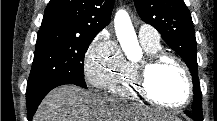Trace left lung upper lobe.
Returning a JSON list of instances; mask_svg holds the SVG:
<instances>
[{"instance_id":"left-lung-upper-lobe-1","label":"left lung upper lobe","mask_w":217,"mask_h":121,"mask_svg":"<svg viewBox=\"0 0 217 121\" xmlns=\"http://www.w3.org/2000/svg\"><path fill=\"white\" fill-rule=\"evenodd\" d=\"M141 19L156 28L165 42L187 64L193 81L191 116L203 120L202 94L197 73L196 37L193 22L183 0H134Z\"/></svg>"}]
</instances>
